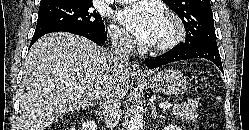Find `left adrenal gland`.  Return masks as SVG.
I'll use <instances>...</instances> for the list:
<instances>
[{"label": "left adrenal gland", "instance_id": "left-adrenal-gland-1", "mask_svg": "<svg viewBox=\"0 0 249 130\" xmlns=\"http://www.w3.org/2000/svg\"><path fill=\"white\" fill-rule=\"evenodd\" d=\"M151 118H152V120H155L156 118H164V116L162 114H158L156 112L155 105H151Z\"/></svg>", "mask_w": 249, "mask_h": 130}]
</instances>
